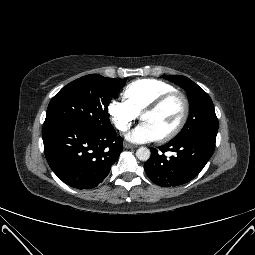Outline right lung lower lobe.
Segmentation results:
<instances>
[{
	"label": "right lung lower lobe",
	"instance_id": "1",
	"mask_svg": "<svg viewBox=\"0 0 255 255\" xmlns=\"http://www.w3.org/2000/svg\"><path fill=\"white\" fill-rule=\"evenodd\" d=\"M42 137L53 172L77 189L98 186L123 150L122 138L114 129L98 132L73 122L43 125Z\"/></svg>",
	"mask_w": 255,
	"mask_h": 255
}]
</instances>
